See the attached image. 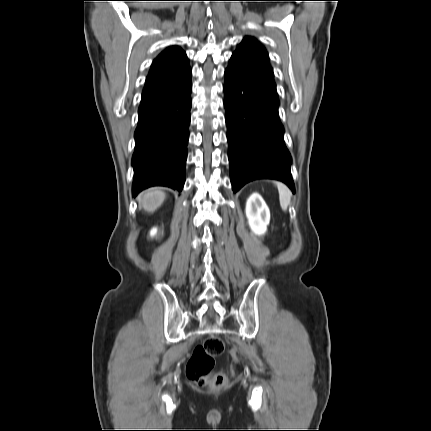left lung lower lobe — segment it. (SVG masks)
<instances>
[{"label":"left lung lower lobe","mask_w":431,"mask_h":431,"mask_svg":"<svg viewBox=\"0 0 431 431\" xmlns=\"http://www.w3.org/2000/svg\"><path fill=\"white\" fill-rule=\"evenodd\" d=\"M224 94L233 191L256 179H276L294 193L274 80L229 65Z\"/></svg>","instance_id":"left-lung-lower-lobe-1"}]
</instances>
